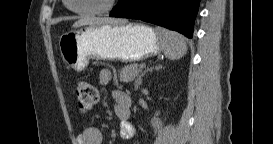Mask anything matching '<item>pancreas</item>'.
<instances>
[{
	"label": "pancreas",
	"instance_id": "cf45deb5",
	"mask_svg": "<svg viewBox=\"0 0 273 144\" xmlns=\"http://www.w3.org/2000/svg\"><path fill=\"white\" fill-rule=\"evenodd\" d=\"M140 71L141 69L136 63L126 65L121 69L119 79L121 82H131L139 75Z\"/></svg>",
	"mask_w": 273,
	"mask_h": 144
}]
</instances>
